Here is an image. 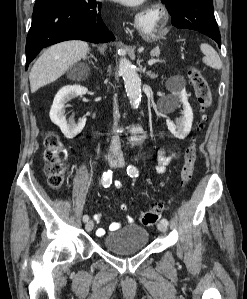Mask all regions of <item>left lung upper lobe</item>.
Instances as JSON below:
<instances>
[{
    "instance_id": "left-lung-upper-lobe-1",
    "label": "left lung upper lobe",
    "mask_w": 247,
    "mask_h": 299,
    "mask_svg": "<svg viewBox=\"0 0 247 299\" xmlns=\"http://www.w3.org/2000/svg\"><path fill=\"white\" fill-rule=\"evenodd\" d=\"M170 1H172V0H162V3H168V2H170Z\"/></svg>"
}]
</instances>
